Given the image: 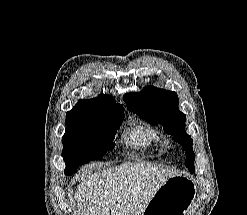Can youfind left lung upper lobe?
<instances>
[{"mask_svg":"<svg viewBox=\"0 0 247 215\" xmlns=\"http://www.w3.org/2000/svg\"><path fill=\"white\" fill-rule=\"evenodd\" d=\"M129 111L142 116L151 124L162 123L164 130L186 151V166L194 172L193 140L185 132V114L178 110L179 99L175 92L148 86L138 93L123 96Z\"/></svg>","mask_w":247,"mask_h":215,"instance_id":"left-lung-upper-lobe-1","label":"left lung upper lobe"}]
</instances>
